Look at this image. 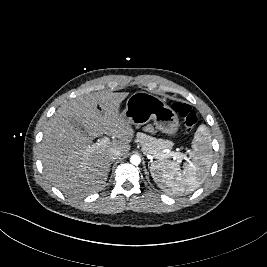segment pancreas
<instances>
[{
	"instance_id": "obj_1",
	"label": "pancreas",
	"mask_w": 267,
	"mask_h": 267,
	"mask_svg": "<svg viewBox=\"0 0 267 267\" xmlns=\"http://www.w3.org/2000/svg\"><path fill=\"white\" fill-rule=\"evenodd\" d=\"M136 142L141 145L144 153L152 155L157 159H163L161 155H165L164 149L170 148L173 145L171 141L157 139L144 133L137 134Z\"/></svg>"
}]
</instances>
